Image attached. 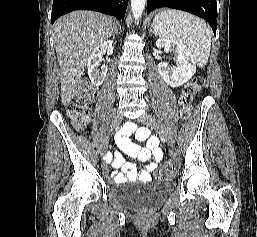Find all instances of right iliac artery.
I'll return each instance as SVG.
<instances>
[{"mask_svg":"<svg viewBox=\"0 0 257 237\" xmlns=\"http://www.w3.org/2000/svg\"><path fill=\"white\" fill-rule=\"evenodd\" d=\"M121 131H122V129L117 133V136L118 135H121ZM108 159V155H107V157H106V160Z\"/></svg>","mask_w":257,"mask_h":237,"instance_id":"1","label":"right iliac artery"}]
</instances>
